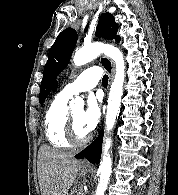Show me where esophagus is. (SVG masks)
Listing matches in <instances>:
<instances>
[{"label":"esophagus","mask_w":178,"mask_h":195,"mask_svg":"<svg viewBox=\"0 0 178 195\" xmlns=\"http://www.w3.org/2000/svg\"><path fill=\"white\" fill-rule=\"evenodd\" d=\"M100 62H101V65L105 68V70L109 74V84H110L113 80V77H114V72H115L114 65H113L112 61L104 55H102L100 57ZM80 165L85 166V167H90L91 163L87 159H83L80 162Z\"/></svg>","instance_id":"34e87169"}]
</instances>
